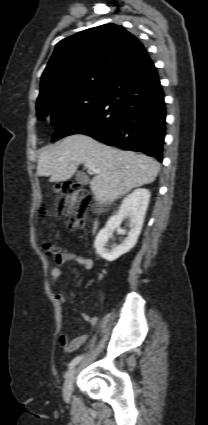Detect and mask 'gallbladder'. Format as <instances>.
I'll return each instance as SVG.
<instances>
[{
    "label": "gallbladder",
    "mask_w": 208,
    "mask_h": 425,
    "mask_svg": "<svg viewBox=\"0 0 208 425\" xmlns=\"http://www.w3.org/2000/svg\"><path fill=\"white\" fill-rule=\"evenodd\" d=\"M76 180L80 183V184H88L89 179L88 177L83 173V172H78L76 175Z\"/></svg>",
    "instance_id": "obj_1"
}]
</instances>
